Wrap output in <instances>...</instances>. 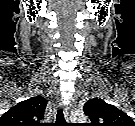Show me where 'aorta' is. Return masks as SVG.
Segmentation results:
<instances>
[{
    "label": "aorta",
    "instance_id": "1",
    "mask_svg": "<svg viewBox=\"0 0 135 126\" xmlns=\"http://www.w3.org/2000/svg\"><path fill=\"white\" fill-rule=\"evenodd\" d=\"M86 116L84 114L74 115L72 117V121H79L80 123H84L86 121Z\"/></svg>",
    "mask_w": 135,
    "mask_h": 126
}]
</instances>
